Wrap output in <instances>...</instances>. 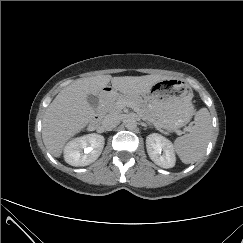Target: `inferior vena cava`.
Masks as SVG:
<instances>
[{"instance_id": "inferior-vena-cava-1", "label": "inferior vena cava", "mask_w": 243, "mask_h": 243, "mask_svg": "<svg viewBox=\"0 0 243 243\" xmlns=\"http://www.w3.org/2000/svg\"><path fill=\"white\" fill-rule=\"evenodd\" d=\"M119 124V119L117 116L109 114L106 115L102 122H101V127L106 130V131H110L113 128H115L117 125Z\"/></svg>"}]
</instances>
